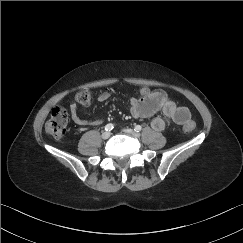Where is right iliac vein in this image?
<instances>
[{
    "label": "right iliac vein",
    "mask_w": 243,
    "mask_h": 243,
    "mask_svg": "<svg viewBox=\"0 0 243 243\" xmlns=\"http://www.w3.org/2000/svg\"><path fill=\"white\" fill-rule=\"evenodd\" d=\"M110 137V132L109 131H105L102 133V138L103 139H108Z\"/></svg>",
    "instance_id": "63e3f726"
}]
</instances>
